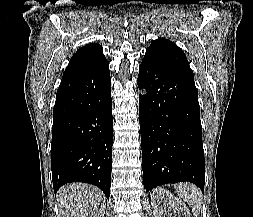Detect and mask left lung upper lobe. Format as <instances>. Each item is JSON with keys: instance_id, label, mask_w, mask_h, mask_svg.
Wrapping results in <instances>:
<instances>
[{"instance_id": "1", "label": "left lung upper lobe", "mask_w": 253, "mask_h": 217, "mask_svg": "<svg viewBox=\"0 0 253 217\" xmlns=\"http://www.w3.org/2000/svg\"><path fill=\"white\" fill-rule=\"evenodd\" d=\"M149 55L177 73L194 80L193 72L183 51L173 42L159 38L154 40L146 51Z\"/></svg>"}]
</instances>
